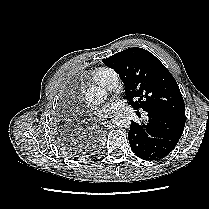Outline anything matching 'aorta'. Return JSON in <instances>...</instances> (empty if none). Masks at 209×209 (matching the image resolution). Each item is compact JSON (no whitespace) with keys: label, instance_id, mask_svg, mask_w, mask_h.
I'll use <instances>...</instances> for the list:
<instances>
[{"label":"aorta","instance_id":"aorta-1","mask_svg":"<svg viewBox=\"0 0 209 209\" xmlns=\"http://www.w3.org/2000/svg\"><path fill=\"white\" fill-rule=\"evenodd\" d=\"M107 98V92L104 88L99 86H92L86 91V99L88 102L99 105L104 103ZM115 125L121 128H127L131 124V117L127 113L117 115L114 120Z\"/></svg>","mask_w":209,"mask_h":209}]
</instances>
